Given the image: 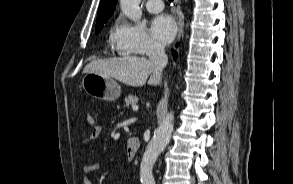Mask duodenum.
Listing matches in <instances>:
<instances>
[{
  "mask_svg": "<svg viewBox=\"0 0 293 184\" xmlns=\"http://www.w3.org/2000/svg\"><path fill=\"white\" fill-rule=\"evenodd\" d=\"M140 147V141L137 137H132L127 142V157L133 160Z\"/></svg>",
  "mask_w": 293,
  "mask_h": 184,
  "instance_id": "duodenum-1",
  "label": "duodenum"
}]
</instances>
